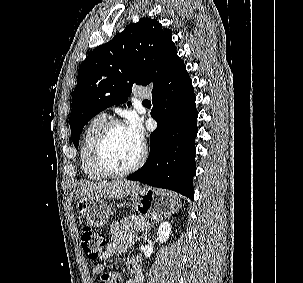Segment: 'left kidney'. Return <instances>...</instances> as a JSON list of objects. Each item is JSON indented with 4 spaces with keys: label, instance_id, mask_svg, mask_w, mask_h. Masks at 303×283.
I'll return each mask as SVG.
<instances>
[{
    "label": "left kidney",
    "instance_id": "obj_1",
    "mask_svg": "<svg viewBox=\"0 0 303 283\" xmlns=\"http://www.w3.org/2000/svg\"><path fill=\"white\" fill-rule=\"evenodd\" d=\"M171 229H172L171 224L167 221L160 224L158 231H157V236L161 243L167 241V239L169 238V236L171 234Z\"/></svg>",
    "mask_w": 303,
    "mask_h": 283
}]
</instances>
